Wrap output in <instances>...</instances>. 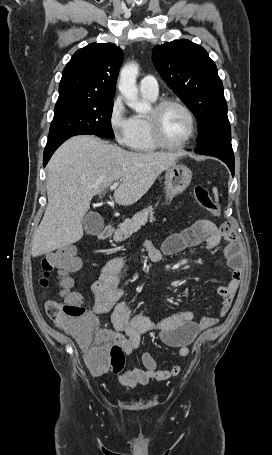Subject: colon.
Returning a JSON list of instances; mask_svg holds the SVG:
<instances>
[{"label": "colon", "instance_id": "obj_1", "mask_svg": "<svg viewBox=\"0 0 272 455\" xmlns=\"http://www.w3.org/2000/svg\"><path fill=\"white\" fill-rule=\"evenodd\" d=\"M194 197L198 204L212 215H219L218 205L213 201L206 188L197 185ZM80 266L77 249L73 245L63 246L48 254L42 263L43 275L40 285L50 290L54 285L64 296L63 301L48 300L45 310L50 319L67 334L75 338L84 350L87 365L94 371L111 369L118 372L124 366V350L95 334L96 319L85 311L81 297L71 291L70 274ZM57 277L54 284L52 277Z\"/></svg>", "mask_w": 272, "mask_h": 455}]
</instances>
